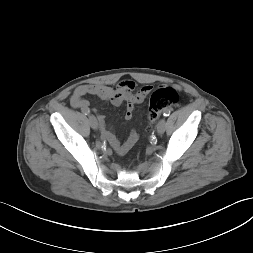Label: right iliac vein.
I'll return each instance as SVG.
<instances>
[{"label": "right iliac vein", "mask_w": 253, "mask_h": 253, "mask_svg": "<svg viewBox=\"0 0 253 253\" xmlns=\"http://www.w3.org/2000/svg\"><path fill=\"white\" fill-rule=\"evenodd\" d=\"M89 122H90L91 127H92L94 130H97V129H98V122H97V119H96L95 116L90 115V116H89Z\"/></svg>", "instance_id": "obj_1"}]
</instances>
